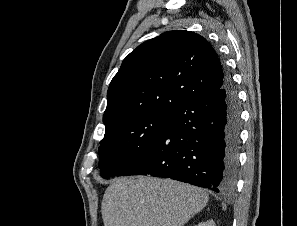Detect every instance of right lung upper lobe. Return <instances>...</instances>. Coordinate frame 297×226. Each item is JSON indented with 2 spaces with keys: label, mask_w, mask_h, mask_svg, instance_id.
<instances>
[{
  "label": "right lung upper lobe",
  "mask_w": 297,
  "mask_h": 226,
  "mask_svg": "<svg viewBox=\"0 0 297 226\" xmlns=\"http://www.w3.org/2000/svg\"><path fill=\"white\" fill-rule=\"evenodd\" d=\"M217 53L199 34L174 30L139 45L123 61L107 92L105 126L181 103L225 82Z\"/></svg>",
  "instance_id": "cb5924a9"
}]
</instances>
